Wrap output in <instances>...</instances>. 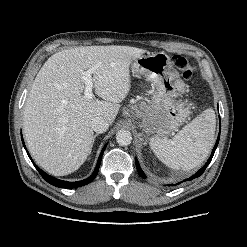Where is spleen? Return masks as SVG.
Listing matches in <instances>:
<instances>
[{
	"label": "spleen",
	"mask_w": 247,
	"mask_h": 247,
	"mask_svg": "<svg viewBox=\"0 0 247 247\" xmlns=\"http://www.w3.org/2000/svg\"><path fill=\"white\" fill-rule=\"evenodd\" d=\"M215 127V112L206 109L174 138H150V147L168 167L189 171L198 167L209 155L215 141Z\"/></svg>",
	"instance_id": "obj_1"
}]
</instances>
